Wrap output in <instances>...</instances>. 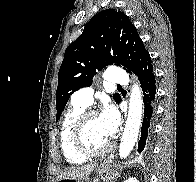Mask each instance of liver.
Returning a JSON list of instances; mask_svg holds the SVG:
<instances>
[{
    "mask_svg": "<svg viewBox=\"0 0 196 182\" xmlns=\"http://www.w3.org/2000/svg\"><path fill=\"white\" fill-rule=\"evenodd\" d=\"M95 166L96 164L92 163L84 166L70 167L58 176V180L62 178L86 179L94 170Z\"/></svg>",
    "mask_w": 196,
    "mask_h": 182,
    "instance_id": "6515ba94",
    "label": "liver"
}]
</instances>
